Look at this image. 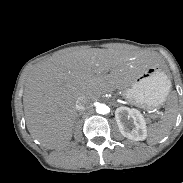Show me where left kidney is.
<instances>
[{
	"label": "left kidney",
	"instance_id": "5707ae66",
	"mask_svg": "<svg viewBox=\"0 0 183 183\" xmlns=\"http://www.w3.org/2000/svg\"><path fill=\"white\" fill-rule=\"evenodd\" d=\"M115 119L121 134L134 141H143L147 137L146 120L137 109L119 107Z\"/></svg>",
	"mask_w": 183,
	"mask_h": 183
}]
</instances>
